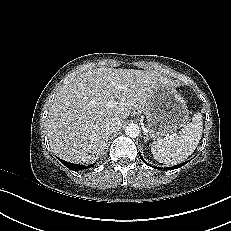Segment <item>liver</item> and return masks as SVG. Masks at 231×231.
<instances>
[{"mask_svg":"<svg viewBox=\"0 0 231 231\" xmlns=\"http://www.w3.org/2000/svg\"><path fill=\"white\" fill-rule=\"evenodd\" d=\"M178 84L152 70L96 68L77 76L56 94L46 119L52 151L73 163H93L105 151L106 125L122 122L132 109L144 110L159 86ZM116 101L114 107L106 102Z\"/></svg>","mask_w":231,"mask_h":231,"instance_id":"1","label":"liver"}]
</instances>
